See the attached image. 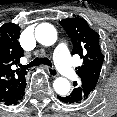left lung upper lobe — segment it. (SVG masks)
Here are the masks:
<instances>
[{
  "mask_svg": "<svg viewBox=\"0 0 117 117\" xmlns=\"http://www.w3.org/2000/svg\"><path fill=\"white\" fill-rule=\"evenodd\" d=\"M59 23L72 40V54H79L83 59V65L75 68L81 83L74 82V90L79 91L86 100L97 85L104 61L99 45V35L83 18H67Z\"/></svg>",
  "mask_w": 117,
  "mask_h": 117,
  "instance_id": "5c2ea615",
  "label": "left lung upper lobe"
}]
</instances>
